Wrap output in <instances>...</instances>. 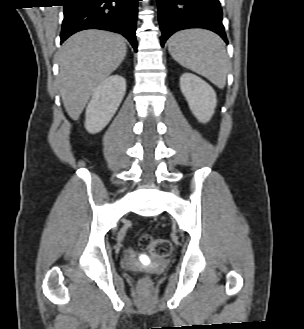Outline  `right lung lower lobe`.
I'll return each mask as SVG.
<instances>
[{
    "label": "right lung lower lobe",
    "mask_w": 304,
    "mask_h": 329,
    "mask_svg": "<svg viewBox=\"0 0 304 329\" xmlns=\"http://www.w3.org/2000/svg\"><path fill=\"white\" fill-rule=\"evenodd\" d=\"M61 42L85 29L122 34L137 50L136 19L139 0H65Z\"/></svg>",
    "instance_id": "obj_1"
}]
</instances>
